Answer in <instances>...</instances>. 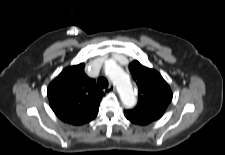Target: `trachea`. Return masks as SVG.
Here are the masks:
<instances>
[{"label":"trachea","instance_id":"obj_1","mask_svg":"<svg viewBox=\"0 0 225 155\" xmlns=\"http://www.w3.org/2000/svg\"><path fill=\"white\" fill-rule=\"evenodd\" d=\"M97 87L99 89L107 88L108 87V81H107V79L104 78V77L98 78V80H97Z\"/></svg>","mask_w":225,"mask_h":155}]
</instances>
